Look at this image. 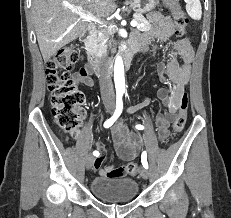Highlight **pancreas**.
I'll return each mask as SVG.
<instances>
[{
  "label": "pancreas",
  "instance_id": "pancreas-1",
  "mask_svg": "<svg viewBox=\"0 0 231 218\" xmlns=\"http://www.w3.org/2000/svg\"><path fill=\"white\" fill-rule=\"evenodd\" d=\"M135 20L138 25L136 26L140 31H148L151 29V24L148 22L141 13H136L134 15ZM114 29L112 25L106 28L99 27L98 32L94 35V43L96 48L102 50L106 47L108 39L113 35Z\"/></svg>",
  "mask_w": 231,
  "mask_h": 218
}]
</instances>
